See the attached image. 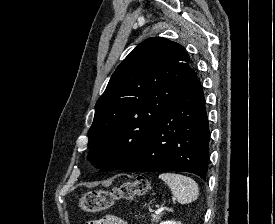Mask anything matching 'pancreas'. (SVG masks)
Instances as JSON below:
<instances>
[{
  "instance_id": "pancreas-1",
  "label": "pancreas",
  "mask_w": 275,
  "mask_h": 224,
  "mask_svg": "<svg viewBox=\"0 0 275 224\" xmlns=\"http://www.w3.org/2000/svg\"><path fill=\"white\" fill-rule=\"evenodd\" d=\"M161 219V215H152L151 222L158 223Z\"/></svg>"
}]
</instances>
